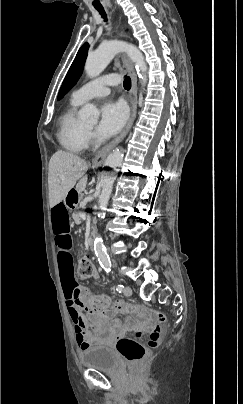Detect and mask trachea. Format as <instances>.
Returning <instances> with one entry per match:
<instances>
[{"mask_svg":"<svg viewBox=\"0 0 243 404\" xmlns=\"http://www.w3.org/2000/svg\"><path fill=\"white\" fill-rule=\"evenodd\" d=\"M95 8H96V10H98L100 15L105 20V22H107V16H106V13L104 11V8L102 6H96ZM123 86H124L125 90H130V88H131V79H130V77H125L124 82H123Z\"/></svg>","mask_w":243,"mask_h":404,"instance_id":"1","label":"trachea"}]
</instances>
